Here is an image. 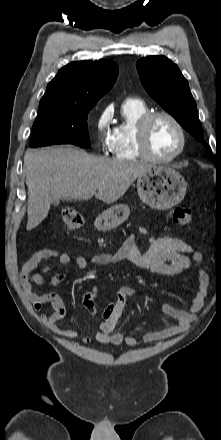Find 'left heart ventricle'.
<instances>
[{"mask_svg": "<svg viewBox=\"0 0 221 440\" xmlns=\"http://www.w3.org/2000/svg\"><path fill=\"white\" fill-rule=\"evenodd\" d=\"M180 137L174 124L165 117L156 118L149 129V147L158 157H169L179 147Z\"/></svg>", "mask_w": 221, "mask_h": 440, "instance_id": "left-heart-ventricle-1", "label": "left heart ventricle"}]
</instances>
